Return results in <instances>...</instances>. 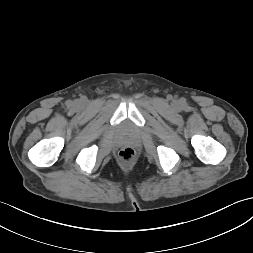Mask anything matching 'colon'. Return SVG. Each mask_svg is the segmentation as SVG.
<instances>
[{
    "mask_svg": "<svg viewBox=\"0 0 253 253\" xmlns=\"http://www.w3.org/2000/svg\"><path fill=\"white\" fill-rule=\"evenodd\" d=\"M119 158L124 163H130L135 158V150L131 147L122 148L119 151Z\"/></svg>",
    "mask_w": 253,
    "mask_h": 253,
    "instance_id": "5ec220e1",
    "label": "colon"
}]
</instances>
